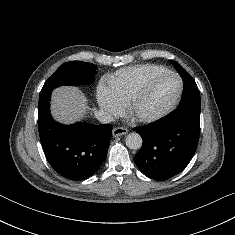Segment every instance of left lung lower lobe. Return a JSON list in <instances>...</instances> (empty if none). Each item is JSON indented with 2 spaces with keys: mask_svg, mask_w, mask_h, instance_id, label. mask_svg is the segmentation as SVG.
Returning a JSON list of instances; mask_svg holds the SVG:
<instances>
[{
  "mask_svg": "<svg viewBox=\"0 0 235 235\" xmlns=\"http://www.w3.org/2000/svg\"><path fill=\"white\" fill-rule=\"evenodd\" d=\"M200 109L195 105L178 107L156 122L134 128L143 139L134 162L144 175L163 181L185 169L199 141Z\"/></svg>",
  "mask_w": 235,
  "mask_h": 235,
  "instance_id": "left-lung-lower-lobe-1",
  "label": "left lung lower lobe"
}]
</instances>
